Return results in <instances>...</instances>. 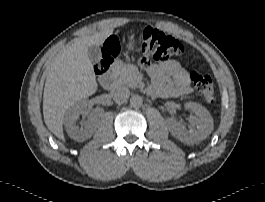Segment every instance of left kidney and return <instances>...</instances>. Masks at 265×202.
<instances>
[{
	"label": "left kidney",
	"mask_w": 265,
	"mask_h": 202,
	"mask_svg": "<svg viewBox=\"0 0 265 202\" xmlns=\"http://www.w3.org/2000/svg\"><path fill=\"white\" fill-rule=\"evenodd\" d=\"M184 106L195 114L189 117V122L194 127L191 130H187L180 122L168 119L167 124L170 133L183 143L197 144L211 134L213 130V118L209 111L198 103L187 102Z\"/></svg>",
	"instance_id": "1"
}]
</instances>
